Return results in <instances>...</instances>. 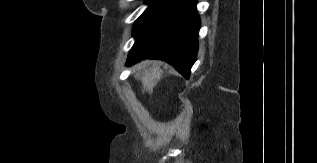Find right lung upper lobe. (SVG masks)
<instances>
[{
  "label": "right lung upper lobe",
  "mask_w": 317,
  "mask_h": 163,
  "mask_svg": "<svg viewBox=\"0 0 317 163\" xmlns=\"http://www.w3.org/2000/svg\"><path fill=\"white\" fill-rule=\"evenodd\" d=\"M162 1H172V2H178L179 0H162Z\"/></svg>",
  "instance_id": "right-lung-upper-lobe-1"
}]
</instances>
